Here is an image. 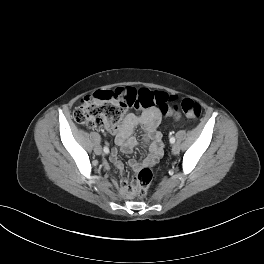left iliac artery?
Returning a JSON list of instances; mask_svg holds the SVG:
<instances>
[{
    "mask_svg": "<svg viewBox=\"0 0 264 264\" xmlns=\"http://www.w3.org/2000/svg\"><path fill=\"white\" fill-rule=\"evenodd\" d=\"M175 142V138L172 136L171 138H170V143H174Z\"/></svg>",
    "mask_w": 264,
    "mask_h": 264,
    "instance_id": "obj_1",
    "label": "left iliac artery"
}]
</instances>
